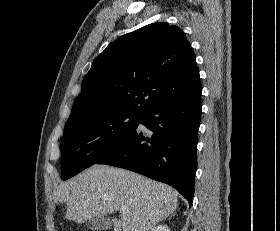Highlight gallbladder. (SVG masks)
<instances>
[{
  "instance_id": "obj_1",
  "label": "gallbladder",
  "mask_w": 280,
  "mask_h": 231,
  "mask_svg": "<svg viewBox=\"0 0 280 231\" xmlns=\"http://www.w3.org/2000/svg\"><path fill=\"white\" fill-rule=\"evenodd\" d=\"M89 229H109L112 225V221H110L109 217H92L86 223Z\"/></svg>"
}]
</instances>
